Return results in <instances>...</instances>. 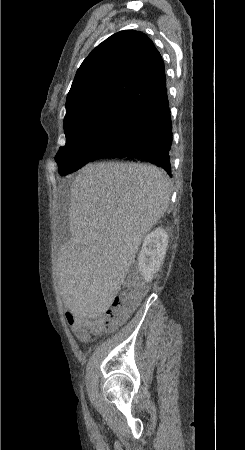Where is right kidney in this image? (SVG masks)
Here are the masks:
<instances>
[{"label": "right kidney", "mask_w": 245, "mask_h": 450, "mask_svg": "<svg viewBox=\"0 0 245 450\" xmlns=\"http://www.w3.org/2000/svg\"><path fill=\"white\" fill-rule=\"evenodd\" d=\"M168 246L167 232L159 227L146 235L138 257L139 271L145 281L153 278L165 258Z\"/></svg>", "instance_id": "obj_1"}]
</instances>
